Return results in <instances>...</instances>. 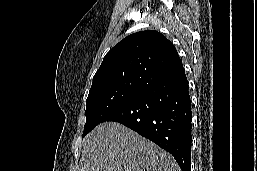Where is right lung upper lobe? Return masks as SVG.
I'll use <instances>...</instances> for the list:
<instances>
[{
  "mask_svg": "<svg viewBox=\"0 0 257 171\" xmlns=\"http://www.w3.org/2000/svg\"><path fill=\"white\" fill-rule=\"evenodd\" d=\"M183 69L175 46L154 30L131 34L104 57L91 89L109 84L142 83L147 87Z\"/></svg>",
  "mask_w": 257,
  "mask_h": 171,
  "instance_id": "right-lung-upper-lobe-1",
  "label": "right lung upper lobe"
}]
</instances>
